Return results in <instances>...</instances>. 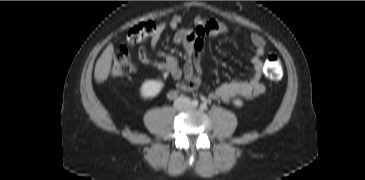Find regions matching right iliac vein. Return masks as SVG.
<instances>
[{
  "label": "right iliac vein",
  "mask_w": 365,
  "mask_h": 180,
  "mask_svg": "<svg viewBox=\"0 0 365 180\" xmlns=\"http://www.w3.org/2000/svg\"><path fill=\"white\" fill-rule=\"evenodd\" d=\"M179 104H180V106H182V105L184 104V102H183V101H180V103H179Z\"/></svg>",
  "instance_id": "1"
}]
</instances>
